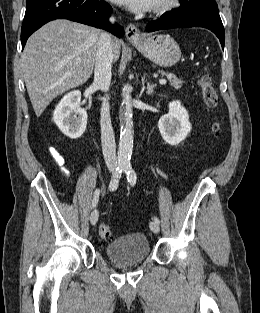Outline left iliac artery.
Returning a JSON list of instances; mask_svg holds the SVG:
<instances>
[{"mask_svg":"<svg viewBox=\"0 0 260 313\" xmlns=\"http://www.w3.org/2000/svg\"><path fill=\"white\" fill-rule=\"evenodd\" d=\"M124 172L127 175V180L131 186H134L136 183L137 175L130 164L124 165ZM154 221L159 224L160 220L157 217H154Z\"/></svg>","mask_w":260,"mask_h":313,"instance_id":"obj_1","label":"left iliac artery"}]
</instances>
